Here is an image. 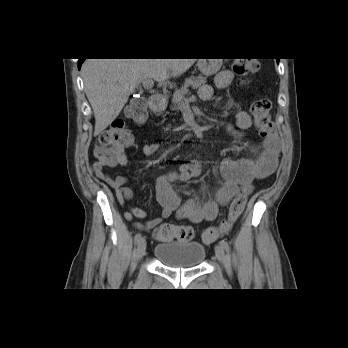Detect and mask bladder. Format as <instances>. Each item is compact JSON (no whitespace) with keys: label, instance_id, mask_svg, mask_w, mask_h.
<instances>
[{"label":"bladder","instance_id":"obj_1","mask_svg":"<svg viewBox=\"0 0 348 348\" xmlns=\"http://www.w3.org/2000/svg\"><path fill=\"white\" fill-rule=\"evenodd\" d=\"M154 257L171 268L199 266L206 255L205 247L192 241H171L160 243L154 248Z\"/></svg>","mask_w":348,"mask_h":348}]
</instances>
